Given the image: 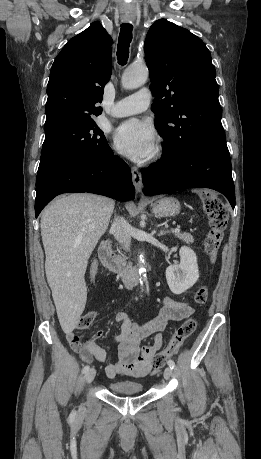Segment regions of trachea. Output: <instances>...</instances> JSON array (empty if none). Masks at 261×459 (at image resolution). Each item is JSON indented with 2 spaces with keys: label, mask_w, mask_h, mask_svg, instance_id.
<instances>
[{
  "label": "trachea",
  "mask_w": 261,
  "mask_h": 459,
  "mask_svg": "<svg viewBox=\"0 0 261 459\" xmlns=\"http://www.w3.org/2000/svg\"><path fill=\"white\" fill-rule=\"evenodd\" d=\"M132 29L131 24H122L118 39L117 47V59L120 65H125L129 57V47L132 41Z\"/></svg>",
  "instance_id": "1"
}]
</instances>
